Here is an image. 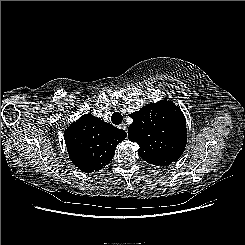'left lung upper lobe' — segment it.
Segmentation results:
<instances>
[{"label": "left lung upper lobe", "mask_w": 245, "mask_h": 245, "mask_svg": "<svg viewBox=\"0 0 245 245\" xmlns=\"http://www.w3.org/2000/svg\"><path fill=\"white\" fill-rule=\"evenodd\" d=\"M130 116L128 138L139 145L138 154L149 164L168 166L186 146V120L178 106L162 100L142 107Z\"/></svg>", "instance_id": "obj_1"}]
</instances>
